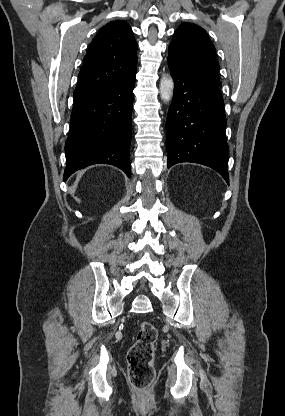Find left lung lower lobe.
<instances>
[{
	"label": "left lung lower lobe",
	"instance_id": "1",
	"mask_svg": "<svg viewBox=\"0 0 285 416\" xmlns=\"http://www.w3.org/2000/svg\"><path fill=\"white\" fill-rule=\"evenodd\" d=\"M168 66L175 86L167 116V167L180 162L199 163L216 170L229 183L226 117L219 87L169 62Z\"/></svg>",
	"mask_w": 285,
	"mask_h": 416
}]
</instances>
